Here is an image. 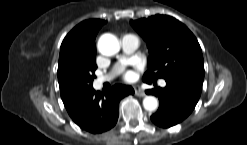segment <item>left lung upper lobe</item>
I'll return each mask as SVG.
<instances>
[{
	"instance_id": "5c2ea615",
	"label": "left lung upper lobe",
	"mask_w": 247,
	"mask_h": 145,
	"mask_svg": "<svg viewBox=\"0 0 247 145\" xmlns=\"http://www.w3.org/2000/svg\"><path fill=\"white\" fill-rule=\"evenodd\" d=\"M147 42L148 71L143 81L157 78L183 77L203 83L204 60L193 33L177 19L167 15L130 21Z\"/></svg>"
}]
</instances>
